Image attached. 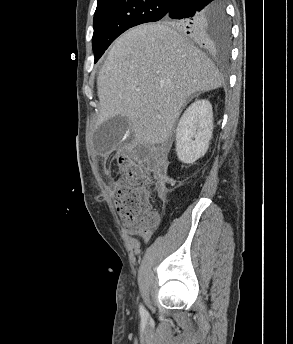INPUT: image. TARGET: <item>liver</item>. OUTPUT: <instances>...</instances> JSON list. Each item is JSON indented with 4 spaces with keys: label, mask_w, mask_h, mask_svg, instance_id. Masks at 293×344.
I'll return each instance as SVG.
<instances>
[{
    "label": "liver",
    "mask_w": 293,
    "mask_h": 344,
    "mask_svg": "<svg viewBox=\"0 0 293 344\" xmlns=\"http://www.w3.org/2000/svg\"><path fill=\"white\" fill-rule=\"evenodd\" d=\"M222 82L213 62L175 28L140 25L114 42L99 72V123L126 117L136 141L163 144L189 97Z\"/></svg>",
    "instance_id": "1"
}]
</instances>
